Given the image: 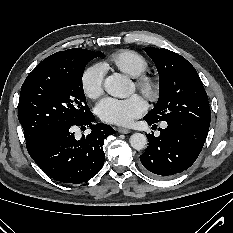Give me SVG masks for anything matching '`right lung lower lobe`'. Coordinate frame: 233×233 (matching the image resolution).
Here are the masks:
<instances>
[{"label": "right lung lower lobe", "instance_id": "1", "mask_svg": "<svg viewBox=\"0 0 233 233\" xmlns=\"http://www.w3.org/2000/svg\"><path fill=\"white\" fill-rule=\"evenodd\" d=\"M94 120V115L89 113L73 125L46 130L26 142L28 153L51 178L64 183L85 182L101 170L104 140L115 133L107 124L93 125ZM76 126L90 127L91 133L78 140L72 132Z\"/></svg>", "mask_w": 233, "mask_h": 233}]
</instances>
